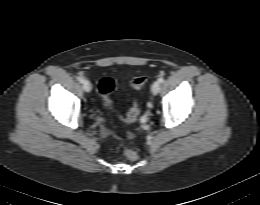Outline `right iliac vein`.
Wrapping results in <instances>:
<instances>
[{"instance_id": "1", "label": "right iliac vein", "mask_w": 260, "mask_h": 205, "mask_svg": "<svg viewBox=\"0 0 260 205\" xmlns=\"http://www.w3.org/2000/svg\"><path fill=\"white\" fill-rule=\"evenodd\" d=\"M83 89L86 92H90L91 91V84H90V82L88 80H85L83 82Z\"/></svg>"}]
</instances>
